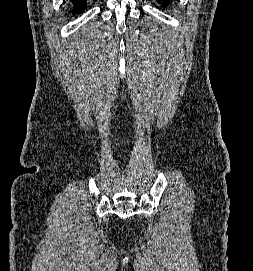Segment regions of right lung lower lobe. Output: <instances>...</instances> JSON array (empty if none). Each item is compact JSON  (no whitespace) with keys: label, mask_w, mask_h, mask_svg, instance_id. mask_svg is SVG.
Masks as SVG:
<instances>
[{"label":"right lung lower lobe","mask_w":253,"mask_h":271,"mask_svg":"<svg viewBox=\"0 0 253 271\" xmlns=\"http://www.w3.org/2000/svg\"><path fill=\"white\" fill-rule=\"evenodd\" d=\"M85 2L86 0H73V3L75 4V12L81 13L85 9Z\"/></svg>","instance_id":"right-lung-lower-lobe-1"}]
</instances>
